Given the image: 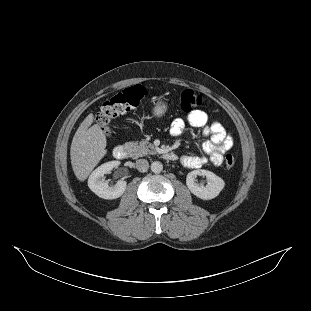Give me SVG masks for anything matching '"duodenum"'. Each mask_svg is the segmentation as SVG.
<instances>
[{
  "label": "duodenum",
  "instance_id": "410a0bca",
  "mask_svg": "<svg viewBox=\"0 0 311 311\" xmlns=\"http://www.w3.org/2000/svg\"><path fill=\"white\" fill-rule=\"evenodd\" d=\"M113 156L118 160H122L128 156V151L123 145H117L113 149ZM164 158L167 160H175L176 155L172 152H167L164 154Z\"/></svg>",
  "mask_w": 311,
  "mask_h": 311
}]
</instances>
